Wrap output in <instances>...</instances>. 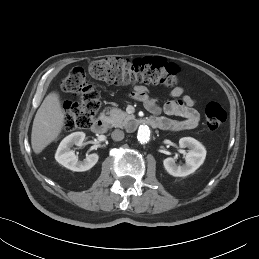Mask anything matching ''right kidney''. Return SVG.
<instances>
[{"label": "right kidney", "mask_w": 259, "mask_h": 259, "mask_svg": "<svg viewBox=\"0 0 259 259\" xmlns=\"http://www.w3.org/2000/svg\"><path fill=\"white\" fill-rule=\"evenodd\" d=\"M84 139L85 133L83 132H74L65 137L56 151V161L72 171L82 172L91 169L99 159L96 153L87 155L83 161H78V157L71 150L74 145L80 146Z\"/></svg>", "instance_id": "1"}]
</instances>
